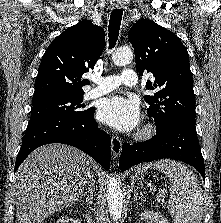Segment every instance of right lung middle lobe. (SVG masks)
Returning <instances> with one entry per match:
<instances>
[{"mask_svg": "<svg viewBox=\"0 0 221 223\" xmlns=\"http://www.w3.org/2000/svg\"><path fill=\"white\" fill-rule=\"evenodd\" d=\"M82 96L83 93H80L32 103L33 108L29 123L54 116L71 118L86 117L94 112V108H85V105L82 104Z\"/></svg>", "mask_w": 221, "mask_h": 223, "instance_id": "1", "label": "right lung middle lobe"}]
</instances>
